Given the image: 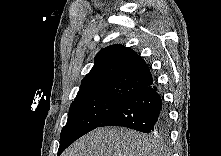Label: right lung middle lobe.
<instances>
[{"label":"right lung middle lobe","instance_id":"right-lung-middle-lobe-1","mask_svg":"<svg viewBox=\"0 0 221 156\" xmlns=\"http://www.w3.org/2000/svg\"><path fill=\"white\" fill-rule=\"evenodd\" d=\"M126 98L114 96H89L75 99L68 120L60 135L58 156L75 140L97 128Z\"/></svg>","mask_w":221,"mask_h":156}]
</instances>
